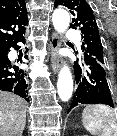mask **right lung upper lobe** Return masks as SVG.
<instances>
[{"label":"right lung upper lobe","instance_id":"right-lung-upper-lobe-1","mask_svg":"<svg viewBox=\"0 0 117 136\" xmlns=\"http://www.w3.org/2000/svg\"><path fill=\"white\" fill-rule=\"evenodd\" d=\"M27 23L24 0H0V54L25 34Z\"/></svg>","mask_w":117,"mask_h":136}]
</instances>
